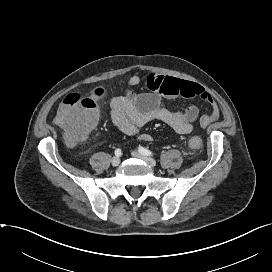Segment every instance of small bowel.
I'll list each match as a JSON object with an SVG mask.
<instances>
[{"instance_id":"1","label":"small bowel","mask_w":272,"mask_h":272,"mask_svg":"<svg viewBox=\"0 0 272 272\" xmlns=\"http://www.w3.org/2000/svg\"><path fill=\"white\" fill-rule=\"evenodd\" d=\"M142 81L140 75L131 76L127 80L125 94L111 100L112 121L126 135H135L142 126L156 120L164 122L179 134H189L197 121L205 127L219 118L220 111L214 98L194 82L150 74L145 78L150 91L137 94L133 89ZM177 97H197L210 107V112L200 114L195 105L173 111L163 102L164 99ZM140 139L150 141L151 136L143 134Z\"/></svg>"}]
</instances>
